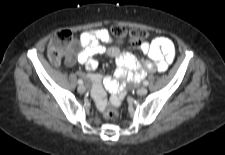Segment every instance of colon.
Instances as JSON below:
<instances>
[{"label":"colon","mask_w":225,"mask_h":155,"mask_svg":"<svg viewBox=\"0 0 225 155\" xmlns=\"http://www.w3.org/2000/svg\"><path fill=\"white\" fill-rule=\"evenodd\" d=\"M109 32L112 40L117 42L128 41L136 46H140L148 36V33L143 29L128 30L118 25L112 26ZM72 40L73 35L68 30L59 31L50 38L47 54L52 63L59 64L63 56L67 57L69 55V46ZM110 102L107 104L104 115L108 120H115L118 116L117 110L111 108Z\"/></svg>","instance_id":"5ec220e1"}]
</instances>
